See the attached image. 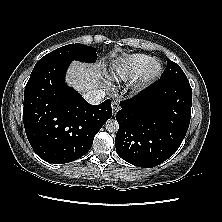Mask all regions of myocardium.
<instances>
[{
    "label": "myocardium",
    "mask_w": 222,
    "mask_h": 222,
    "mask_svg": "<svg viewBox=\"0 0 222 222\" xmlns=\"http://www.w3.org/2000/svg\"><path fill=\"white\" fill-rule=\"evenodd\" d=\"M163 66L160 60L153 59L143 72V76L141 79V86H146L151 84L156 79H158L162 73Z\"/></svg>",
    "instance_id": "myocardium-1"
}]
</instances>
